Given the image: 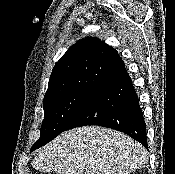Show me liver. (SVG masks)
<instances>
[{"label": "liver", "mask_w": 175, "mask_h": 174, "mask_svg": "<svg viewBox=\"0 0 175 174\" xmlns=\"http://www.w3.org/2000/svg\"><path fill=\"white\" fill-rule=\"evenodd\" d=\"M147 161L146 149L128 135L84 126L63 132L39 149L32 165L57 174H129Z\"/></svg>", "instance_id": "1"}]
</instances>
